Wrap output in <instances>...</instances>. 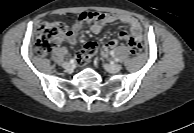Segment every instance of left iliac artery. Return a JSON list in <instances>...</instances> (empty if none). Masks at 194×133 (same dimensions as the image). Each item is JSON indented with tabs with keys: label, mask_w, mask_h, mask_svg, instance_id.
<instances>
[{
	"label": "left iliac artery",
	"mask_w": 194,
	"mask_h": 133,
	"mask_svg": "<svg viewBox=\"0 0 194 133\" xmlns=\"http://www.w3.org/2000/svg\"><path fill=\"white\" fill-rule=\"evenodd\" d=\"M114 61H118V58L114 57Z\"/></svg>",
	"instance_id": "1"
}]
</instances>
